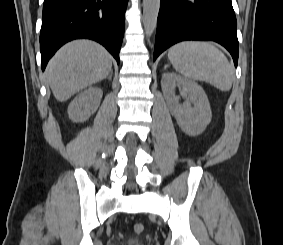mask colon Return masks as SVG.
<instances>
[{
    "instance_id": "obj_1",
    "label": "colon",
    "mask_w": 283,
    "mask_h": 245,
    "mask_svg": "<svg viewBox=\"0 0 283 245\" xmlns=\"http://www.w3.org/2000/svg\"><path fill=\"white\" fill-rule=\"evenodd\" d=\"M133 230H134V232H135L136 234H140V233L143 232L144 226H143V224H141V223H136V224L134 225V227H133Z\"/></svg>"
}]
</instances>
